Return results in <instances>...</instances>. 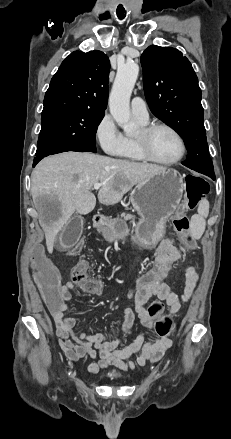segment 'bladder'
Listing matches in <instances>:
<instances>
[{
    "label": "bladder",
    "instance_id": "bladder-1",
    "mask_svg": "<svg viewBox=\"0 0 231 439\" xmlns=\"http://www.w3.org/2000/svg\"><path fill=\"white\" fill-rule=\"evenodd\" d=\"M107 377L111 380H117L119 379L121 376L119 373L115 372V371H111L107 374Z\"/></svg>",
    "mask_w": 231,
    "mask_h": 439
}]
</instances>
